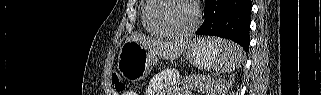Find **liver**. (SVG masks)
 Instances as JSON below:
<instances>
[{
	"label": "liver",
	"mask_w": 321,
	"mask_h": 95,
	"mask_svg": "<svg viewBox=\"0 0 321 95\" xmlns=\"http://www.w3.org/2000/svg\"><path fill=\"white\" fill-rule=\"evenodd\" d=\"M127 41H135L156 56L167 60L177 59L189 40L157 41L141 34H132Z\"/></svg>",
	"instance_id": "liver-1"
}]
</instances>
